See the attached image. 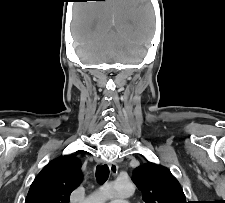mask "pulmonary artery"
Returning <instances> with one entry per match:
<instances>
[{
	"label": "pulmonary artery",
	"mask_w": 225,
	"mask_h": 203,
	"mask_svg": "<svg viewBox=\"0 0 225 203\" xmlns=\"http://www.w3.org/2000/svg\"><path fill=\"white\" fill-rule=\"evenodd\" d=\"M111 203H128V201H113Z\"/></svg>",
	"instance_id": "pulmonary-artery-1"
}]
</instances>
